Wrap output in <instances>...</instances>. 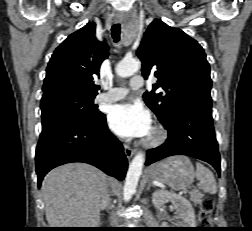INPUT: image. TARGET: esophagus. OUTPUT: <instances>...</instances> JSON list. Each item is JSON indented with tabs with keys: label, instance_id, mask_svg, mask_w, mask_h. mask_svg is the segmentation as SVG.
Masks as SVG:
<instances>
[{
	"label": "esophagus",
	"instance_id": "34e87169",
	"mask_svg": "<svg viewBox=\"0 0 252 231\" xmlns=\"http://www.w3.org/2000/svg\"><path fill=\"white\" fill-rule=\"evenodd\" d=\"M123 20V15L122 14H116L115 17H114V21L116 23H119ZM124 147V152H125V155L128 159H131L133 157V155L135 154V150L132 149L129 145L127 144H124L123 145Z\"/></svg>",
	"mask_w": 252,
	"mask_h": 231
}]
</instances>
